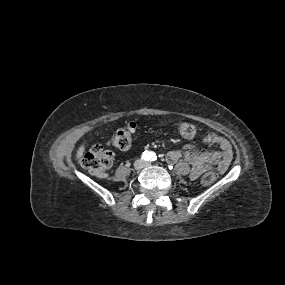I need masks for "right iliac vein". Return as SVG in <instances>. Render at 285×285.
I'll list each match as a JSON object with an SVG mask.
<instances>
[{"mask_svg": "<svg viewBox=\"0 0 285 285\" xmlns=\"http://www.w3.org/2000/svg\"><path fill=\"white\" fill-rule=\"evenodd\" d=\"M143 167H144L143 161H141V160L135 161V163H134V168H135V170L139 171V170H141Z\"/></svg>", "mask_w": 285, "mask_h": 285, "instance_id": "63e3f726", "label": "right iliac vein"}]
</instances>
